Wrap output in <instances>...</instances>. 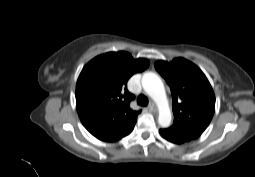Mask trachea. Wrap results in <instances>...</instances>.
Wrapping results in <instances>:
<instances>
[{"label": "trachea", "mask_w": 255, "mask_h": 177, "mask_svg": "<svg viewBox=\"0 0 255 177\" xmlns=\"http://www.w3.org/2000/svg\"><path fill=\"white\" fill-rule=\"evenodd\" d=\"M137 103L139 105H142V106H147L148 105V99L145 95L141 94L137 98Z\"/></svg>", "instance_id": "obj_1"}]
</instances>
